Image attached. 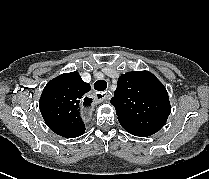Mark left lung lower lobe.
I'll return each instance as SVG.
<instances>
[{"instance_id": "obj_1", "label": "left lung lower lobe", "mask_w": 209, "mask_h": 179, "mask_svg": "<svg viewBox=\"0 0 209 179\" xmlns=\"http://www.w3.org/2000/svg\"><path fill=\"white\" fill-rule=\"evenodd\" d=\"M121 126L130 134L134 135V136H139V137H147L152 135V133L144 131L140 128H137L135 126L129 125L127 123L124 122H120Z\"/></svg>"}]
</instances>
